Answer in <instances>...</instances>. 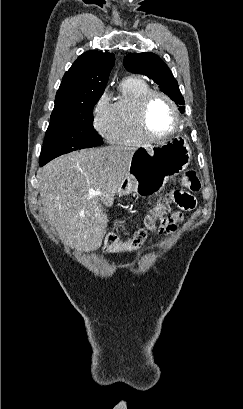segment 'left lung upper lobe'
<instances>
[{
    "label": "left lung upper lobe",
    "instance_id": "1",
    "mask_svg": "<svg viewBox=\"0 0 243 409\" xmlns=\"http://www.w3.org/2000/svg\"><path fill=\"white\" fill-rule=\"evenodd\" d=\"M124 67L130 72L146 75L156 82L162 88V92L173 99L175 103L185 104L172 72L156 54L151 52L128 54L124 58ZM180 111L183 113L185 107L180 106Z\"/></svg>",
    "mask_w": 243,
    "mask_h": 409
}]
</instances>
